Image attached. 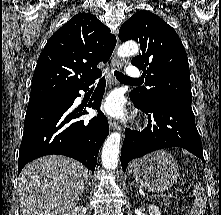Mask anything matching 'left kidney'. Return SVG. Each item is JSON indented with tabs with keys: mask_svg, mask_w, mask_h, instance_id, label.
<instances>
[{
	"mask_svg": "<svg viewBox=\"0 0 221 215\" xmlns=\"http://www.w3.org/2000/svg\"><path fill=\"white\" fill-rule=\"evenodd\" d=\"M149 215H161L159 208L156 205H149Z\"/></svg>",
	"mask_w": 221,
	"mask_h": 215,
	"instance_id": "1",
	"label": "left kidney"
}]
</instances>
